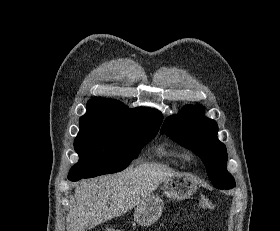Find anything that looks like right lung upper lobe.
<instances>
[{
	"mask_svg": "<svg viewBox=\"0 0 280 231\" xmlns=\"http://www.w3.org/2000/svg\"><path fill=\"white\" fill-rule=\"evenodd\" d=\"M92 118L118 119L138 125L159 128L163 116L154 109L142 107L130 109L117 100L94 97L88 101L87 113L80 120Z\"/></svg>",
	"mask_w": 280,
	"mask_h": 231,
	"instance_id": "cb5924a9",
	"label": "right lung upper lobe"
}]
</instances>
